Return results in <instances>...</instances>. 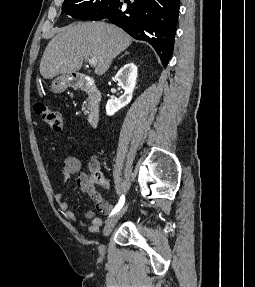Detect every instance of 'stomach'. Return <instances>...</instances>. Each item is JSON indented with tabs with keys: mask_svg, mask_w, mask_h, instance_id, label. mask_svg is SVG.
Wrapping results in <instances>:
<instances>
[{
	"mask_svg": "<svg viewBox=\"0 0 255 287\" xmlns=\"http://www.w3.org/2000/svg\"><path fill=\"white\" fill-rule=\"evenodd\" d=\"M69 86H72V78L70 74H64V76H59V78L53 80L51 92H54V94H61V92H65Z\"/></svg>",
	"mask_w": 255,
	"mask_h": 287,
	"instance_id": "obj_1",
	"label": "stomach"
}]
</instances>
